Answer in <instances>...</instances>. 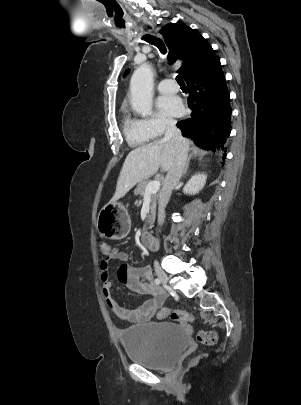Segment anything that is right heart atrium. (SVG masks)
Segmentation results:
<instances>
[{
    "mask_svg": "<svg viewBox=\"0 0 301 405\" xmlns=\"http://www.w3.org/2000/svg\"><path fill=\"white\" fill-rule=\"evenodd\" d=\"M143 123L154 136H159L174 125V120L167 115L158 113L144 119Z\"/></svg>",
    "mask_w": 301,
    "mask_h": 405,
    "instance_id": "1",
    "label": "right heart atrium"
}]
</instances>
